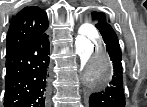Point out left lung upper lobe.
Wrapping results in <instances>:
<instances>
[{
    "instance_id": "1",
    "label": "left lung upper lobe",
    "mask_w": 147,
    "mask_h": 107,
    "mask_svg": "<svg viewBox=\"0 0 147 107\" xmlns=\"http://www.w3.org/2000/svg\"><path fill=\"white\" fill-rule=\"evenodd\" d=\"M90 18L93 22L97 23L96 26L109 23V21L106 19L105 14L103 12L93 11L90 14Z\"/></svg>"
}]
</instances>
